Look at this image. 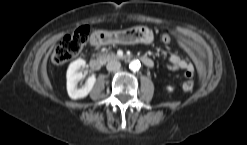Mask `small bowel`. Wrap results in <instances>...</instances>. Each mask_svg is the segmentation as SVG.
Listing matches in <instances>:
<instances>
[{"label":"small bowel","mask_w":247,"mask_h":145,"mask_svg":"<svg viewBox=\"0 0 247 145\" xmlns=\"http://www.w3.org/2000/svg\"><path fill=\"white\" fill-rule=\"evenodd\" d=\"M178 44L186 51L188 57L183 58L176 54H171L168 56V67L170 70H185L186 74H192L195 67L202 68V61L196 54L192 45L185 39L178 37Z\"/></svg>","instance_id":"c3829d8e"}]
</instances>
